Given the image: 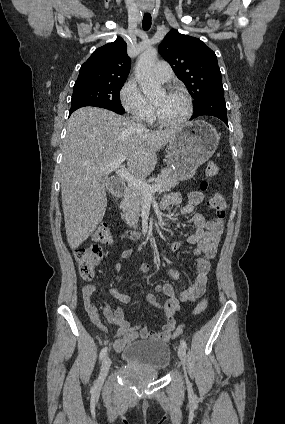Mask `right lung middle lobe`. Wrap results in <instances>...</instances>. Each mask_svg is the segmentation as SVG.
<instances>
[{"mask_svg":"<svg viewBox=\"0 0 285 424\" xmlns=\"http://www.w3.org/2000/svg\"><path fill=\"white\" fill-rule=\"evenodd\" d=\"M123 84L124 82L74 85L71 104L87 102L117 111H124L119 97Z\"/></svg>","mask_w":285,"mask_h":424,"instance_id":"dd1d6c3e","label":"right lung middle lobe"}]
</instances>
